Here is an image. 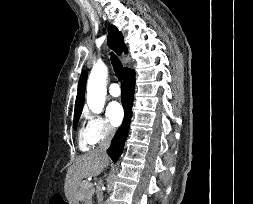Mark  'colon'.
<instances>
[{
  "mask_svg": "<svg viewBox=\"0 0 253 204\" xmlns=\"http://www.w3.org/2000/svg\"><path fill=\"white\" fill-rule=\"evenodd\" d=\"M50 204H63V202L58 197H52L51 200H50Z\"/></svg>",
  "mask_w": 253,
  "mask_h": 204,
  "instance_id": "1",
  "label": "colon"
}]
</instances>
